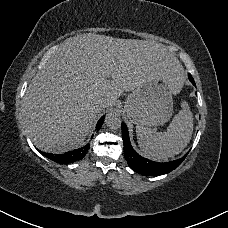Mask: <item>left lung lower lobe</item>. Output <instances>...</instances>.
<instances>
[{"mask_svg": "<svg viewBox=\"0 0 228 228\" xmlns=\"http://www.w3.org/2000/svg\"><path fill=\"white\" fill-rule=\"evenodd\" d=\"M188 77L191 83L195 85L191 74H189ZM122 137L124 143V156L127 160V163L133 170L145 176H158L171 172L183 162L189 153L187 152L182 158L177 160L159 163L143 158L132 148L129 140L128 129L125 123H122Z\"/></svg>", "mask_w": 228, "mask_h": 228, "instance_id": "1", "label": "left lung lower lobe"}]
</instances>
